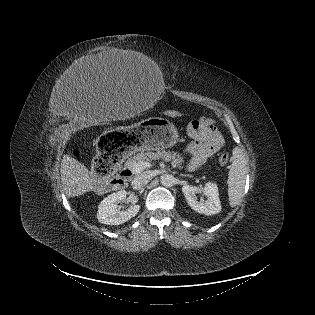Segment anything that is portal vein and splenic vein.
<instances>
[{
    "instance_id": "portal-vein-and-splenic-vein-1",
    "label": "portal vein and splenic vein",
    "mask_w": 315,
    "mask_h": 315,
    "mask_svg": "<svg viewBox=\"0 0 315 315\" xmlns=\"http://www.w3.org/2000/svg\"><path fill=\"white\" fill-rule=\"evenodd\" d=\"M151 167V163L150 162H140L137 163L133 168H132V172L133 174H139L140 172H142L144 169Z\"/></svg>"
}]
</instances>
